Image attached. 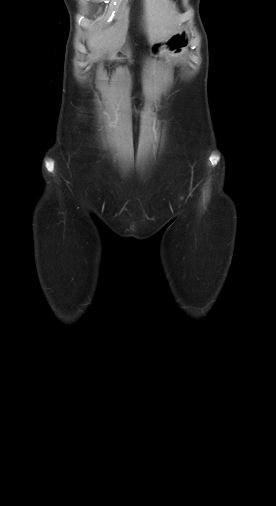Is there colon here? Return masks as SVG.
<instances>
[{"label":"colon","mask_w":276,"mask_h":506,"mask_svg":"<svg viewBox=\"0 0 276 506\" xmlns=\"http://www.w3.org/2000/svg\"><path fill=\"white\" fill-rule=\"evenodd\" d=\"M113 55H114V57H116V58L118 57L119 58V57H121L122 54H121V52H119V51L117 52L116 51V52H114Z\"/></svg>","instance_id":"colon-1"}]
</instances>
